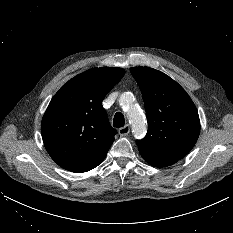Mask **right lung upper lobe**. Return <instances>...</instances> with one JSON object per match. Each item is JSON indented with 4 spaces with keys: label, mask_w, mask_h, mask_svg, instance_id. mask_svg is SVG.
I'll return each instance as SVG.
<instances>
[{
    "label": "right lung upper lobe",
    "mask_w": 233,
    "mask_h": 233,
    "mask_svg": "<svg viewBox=\"0 0 233 233\" xmlns=\"http://www.w3.org/2000/svg\"><path fill=\"white\" fill-rule=\"evenodd\" d=\"M125 70L89 69L64 84L43 116L41 132L51 158L62 168L82 173L101 164L117 133L102 101Z\"/></svg>",
    "instance_id": "obj_1"
}]
</instances>
